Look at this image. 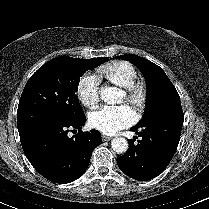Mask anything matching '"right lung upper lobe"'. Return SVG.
I'll return each instance as SVG.
<instances>
[{"label": "right lung upper lobe", "instance_id": "right-lung-upper-lobe-1", "mask_svg": "<svg viewBox=\"0 0 209 209\" xmlns=\"http://www.w3.org/2000/svg\"><path fill=\"white\" fill-rule=\"evenodd\" d=\"M103 59H106V58H103V57L94 58V60H103Z\"/></svg>", "mask_w": 209, "mask_h": 209}]
</instances>
